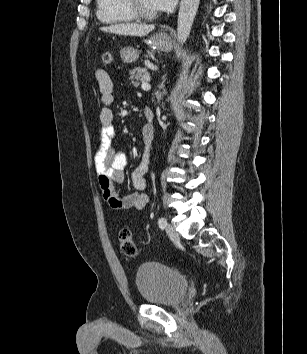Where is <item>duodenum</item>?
<instances>
[{"instance_id": "410a0bca", "label": "duodenum", "mask_w": 307, "mask_h": 354, "mask_svg": "<svg viewBox=\"0 0 307 354\" xmlns=\"http://www.w3.org/2000/svg\"><path fill=\"white\" fill-rule=\"evenodd\" d=\"M144 113L147 120H150L153 117V113L150 108H147Z\"/></svg>"}]
</instances>
